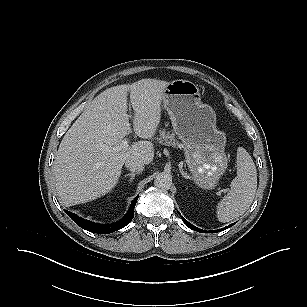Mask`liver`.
Listing matches in <instances>:
<instances>
[{"instance_id": "obj_1", "label": "liver", "mask_w": 307, "mask_h": 307, "mask_svg": "<svg viewBox=\"0 0 307 307\" xmlns=\"http://www.w3.org/2000/svg\"><path fill=\"white\" fill-rule=\"evenodd\" d=\"M168 82L141 79L100 93L64 135L55 157L53 173L57 195L65 206L86 203L105 195L118 182L127 159L149 164L154 146L149 140L116 151L132 132L127 96L134 110L133 128L142 139H152L161 119V102Z\"/></svg>"}]
</instances>
